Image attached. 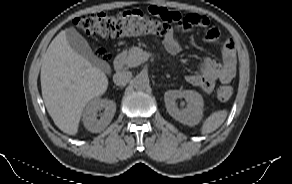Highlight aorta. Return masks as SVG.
<instances>
[{
  "mask_svg": "<svg viewBox=\"0 0 292 184\" xmlns=\"http://www.w3.org/2000/svg\"><path fill=\"white\" fill-rule=\"evenodd\" d=\"M133 86L136 90H145L149 87V78L145 74H138L133 79Z\"/></svg>",
  "mask_w": 292,
  "mask_h": 184,
  "instance_id": "762f6f07",
  "label": "aorta"
}]
</instances>
